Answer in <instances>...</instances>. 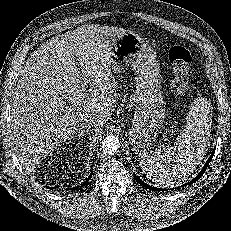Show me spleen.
Here are the masks:
<instances>
[{
  "label": "spleen",
  "mask_w": 231,
  "mask_h": 231,
  "mask_svg": "<svg viewBox=\"0 0 231 231\" xmlns=\"http://www.w3.org/2000/svg\"><path fill=\"white\" fill-rule=\"evenodd\" d=\"M211 121L203 102L196 99L190 106L187 126L173 145L139 153L142 172L159 185H180L196 169L207 151Z\"/></svg>",
  "instance_id": "3e777b00"
}]
</instances>
